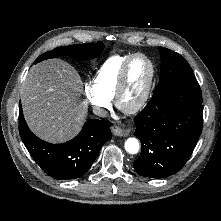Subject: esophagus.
Masks as SVG:
<instances>
[{"label": "esophagus", "mask_w": 221, "mask_h": 221, "mask_svg": "<svg viewBox=\"0 0 221 221\" xmlns=\"http://www.w3.org/2000/svg\"><path fill=\"white\" fill-rule=\"evenodd\" d=\"M111 131L116 136H127L128 135V131L127 130L122 129V128H120L117 125L111 126Z\"/></svg>", "instance_id": "esophagus-1"}]
</instances>
